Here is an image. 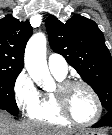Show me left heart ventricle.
<instances>
[{
  "instance_id": "1",
  "label": "left heart ventricle",
  "mask_w": 112,
  "mask_h": 135,
  "mask_svg": "<svg viewBox=\"0 0 112 135\" xmlns=\"http://www.w3.org/2000/svg\"><path fill=\"white\" fill-rule=\"evenodd\" d=\"M68 105L73 116L79 121H89L95 116V100L82 86H75L69 90Z\"/></svg>"
}]
</instances>
